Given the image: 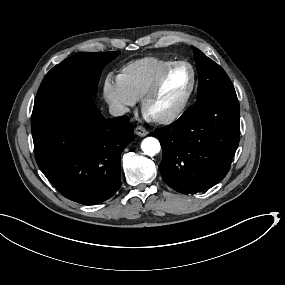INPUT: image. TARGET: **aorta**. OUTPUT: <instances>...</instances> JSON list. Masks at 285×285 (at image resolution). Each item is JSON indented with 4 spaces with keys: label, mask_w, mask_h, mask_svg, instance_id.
I'll use <instances>...</instances> for the list:
<instances>
[{
    "label": "aorta",
    "mask_w": 285,
    "mask_h": 285,
    "mask_svg": "<svg viewBox=\"0 0 285 285\" xmlns=\"http://www.w3.org/2000/svg\"><path fill=\"white\" fill-rule=\"evenodd\" d=\"M143 152L148 156H154L160 151V143L156 138L147 137L141 143Z\"/></svg>",
    "instance_id": "obj_1"
}]
</instances>
